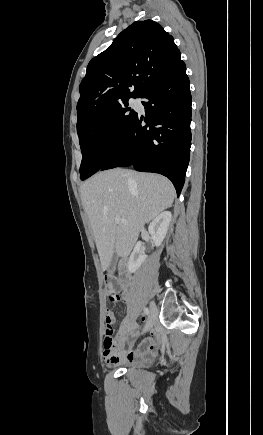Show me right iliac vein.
<instances>
[{
	"label": "right iliac vein",
	"mask_w": 263,
	"mask_h": 435,
	"mask_svg": "<svg viewBox=\"0 0 263 435\" xmlns=\"http://www.w3.org/2000/svg\"><path fill=\"white\" fill-rule=\"evenodd\" d=\"M156 317H157V308H156L155 303L151 302V304H150V314H149V317H148V321H147V323L145 325V328L143 330V333L149 331L152 328V326L155 323Z\"/></svg>",
	"instance_id": "obj_1"
}]
</instances>
